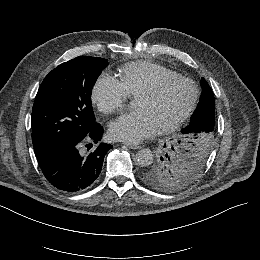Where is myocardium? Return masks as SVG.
Masks as SVG:
<instances>
[{"label": "myocardium", "mask_w": 260, "mask_h": 260, "mask_svg": "<svg viewBox=\"0 0 260 260\" xmlns=\"http://www.w3.org/2000/svg\"><path fill=\"white\" fill-rule=\"evenodd\" d=\"M183 81L187 84H189L193 90V96L191 99L190 104L188 105L187 109L177 118H175L174 120H172L171 122L159 125L157 128L158 132H167L170 130H173L177 127H179L182 123H184L192 114V112L194 111L198 99H199V89L197 87V85L191 81L189 78L180 75V74H176V75H172V76H166V77H162L158 80V82L149 88H146L142 91H140L136 97L138 96H142V95H150V96H154L156 94H158L168 83L172 82V81Z\"/></svg>", "instance_id": "obj_1"}]
</instances>
